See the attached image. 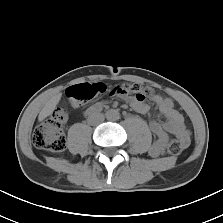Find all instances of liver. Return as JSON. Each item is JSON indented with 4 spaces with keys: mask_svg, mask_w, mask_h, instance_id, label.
Masks as SVG:
<instances>
[{
    "mask_svg": "<svg viewBox=\"0 0 223 223\" xmlns=\"http://www.w3.org/2000/svg\"><path fill=\"white\" fill-rule=\"evenodd\" d=\"M60 99H61V93H58L45 103L44 107L42 108L38 116L39 122L43 121L53 112V110L59 103Z\"/></svg>",
    "mask_w": 223,
    "mask_h": 223,
    "instance_id": "liver-1",
    "label": "liver"
}]
</instances>
